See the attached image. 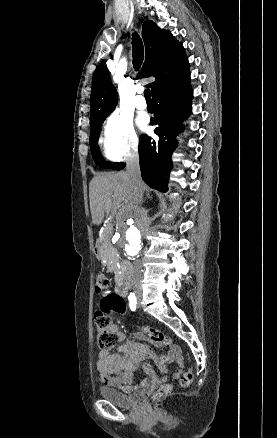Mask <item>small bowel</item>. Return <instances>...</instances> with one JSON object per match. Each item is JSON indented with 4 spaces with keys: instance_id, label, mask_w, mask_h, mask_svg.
I'll return each mask as SVG.
<instances>
[{
    "instance_id": "obj_1",
    "label": "small bowel",
    "mask_w": 277,
    "mask_h": 438,
    "mask_svg": "<svg viewBox=\"0 0 277 438\" xmlns=\"http://www.w3.org/2000/svg\"><path fill=\"white\" fill-rule=\"evenodd\" d=\"M109 330L117 335L120 345L116 353L101 352L98 356L96 369L99 379L105 384L126 391L130 390L133 372L145 358L155 360L165 373L168 372V364L175 362L177 364V369L173 374V378L175 379L179 378L184 372L185 365L181 350L178 346H172L167 354L157 356L148 346L137 341V339H141L139 334H134L133 339H131L120 330L117 324L111 325ZM155 347L161 350L164 344L158 341ZM143 365L144 370L149 371L152 362L146 359Z\"/></svg>"
}]
</instances>
